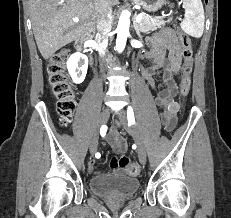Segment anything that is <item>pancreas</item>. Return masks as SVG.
Segmentation results:
<instances>
[{
  "label": "pancreas",
  "mask_w": 231,
  "mask_h": 218,
  "mask_svg": "<svg viewBox=\"0 0 231 218\" xmlns=\"http://www.w3.org/2000/svg\"><path fill=\"white\" fill-rule=\"evenodd\" d=\"M141 15L143 17L140 23H138V27L144 33H148L149 31L160 29L166 23L163 20L152 18L145 13H141ZM167 22H170V20H168Z\"/></svg>",
  "instance_id": "cf45deb5"
}]
</instances>
